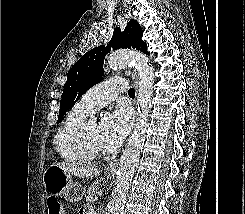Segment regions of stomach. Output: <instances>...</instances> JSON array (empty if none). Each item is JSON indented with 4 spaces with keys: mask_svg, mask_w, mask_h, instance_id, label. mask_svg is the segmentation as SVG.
I'll return each mask as SVG.
<instances>
[{
    "mask_svg": "<svg viewBox=\"0 0 245 214\" xmlns=\"http://www.w3.org/2000/svg\"><path fill=\"white\" fill-rule=\"evenodd\" d=\"M44 187L53 196H64L70 202H79L85 193V188L73 181L72 175L60 167L51 165L43 175Z\"/></svg>",
    "mask_w": 245,
    "mask_h": 214,
    "instance_id": "0dacf381",
    "label": "stomach"
}]
</instances>
